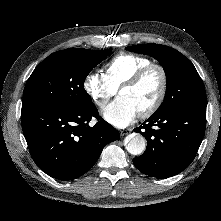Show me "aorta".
<instances>
[{
    "mask_svg": "<svg viewBox=\"0 0 221 221\" xmlns=\"http://www.w3.org/2000/svg\"><path fill=\"white\" fill-rule=\"evenodd\" d=\"M126 149L132 155H141L146 149V139L141 134H135L126 145Z\"/></svg>",
    "mask_w": 221,
    "mask_h": 221,
    "instance_id": "obj_1",
    "label": "aorta"
}]
</instances>
